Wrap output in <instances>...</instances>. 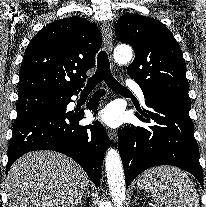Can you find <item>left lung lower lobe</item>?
<instances>
[{
  "instance_id": "1",
  "label": "left lung lower lobe",
  "mask_w": 206,
  "mask_h": 207,
  "mask_svg": "<svg viewBox=\"0 0 206 207\" xmlns=\"http://www.w3.org/2000/svg\"><path fill=\"white\" fill-rule=\"evenodd\" d=\"M149 110L136 116L147 128L129 125L118 137L126 187L150 167L173 165L192 173L203 188V173L194 127L189 117L190 103L159 96L145 97Z\"/></svg>"
}]
</instances>
